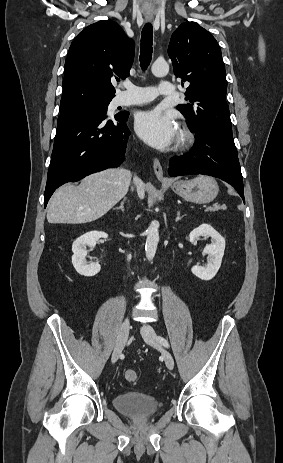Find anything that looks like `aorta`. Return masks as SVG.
I'll return each instance as SVG.
<instances>
[{
	"instance_id": "762f6f07",
	"label": "aorta",
	"mask_w": 283,
	"mask_h": 463,
	"mask_svg": "<svg viewBox=\"0 0 283 463\" xmlns=\"http://www.w3.org/2000/svg\"><path fill=\"white\" fill-rule=\"evenodd\" d=\"M151 71L156 77H163L169 72V65L167 62L155 61L151 67ZM159 242V223L152 221L147 229V239L145 245L146 258L151 261L157 250Z\"/></svg>"
}]
</instances>
